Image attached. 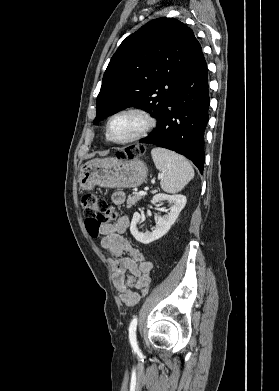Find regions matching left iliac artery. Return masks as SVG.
<instances>
[{
  "label": "left iliac artery",
  "instance_id": "1",
  "mask_svg": "<svg viewBox=\"0 0 279 391\" xmlns=\"http://www.w3.org/2000/svg\"><path fill=\"white\" fill-rule=\"evenodd\" d=\"M137 318H133L129 326V341L133 349H138L136 339Z\"/></svg>",
  "mask_w": 279,
  "mask_h": 391
}]
</instances>
